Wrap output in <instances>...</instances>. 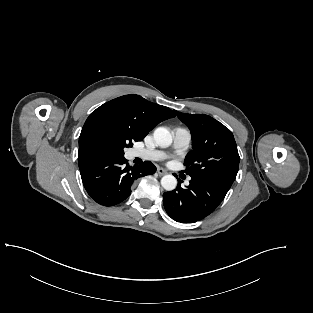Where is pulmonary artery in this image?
Returning a JSON list of instances; mask_svg holds the SVG:
<instances>
[{
	"label": "pulmonary artery",
	"mask_w": 313,
	"mask_h": 313,
	"mask_svg": "<svg viewBox=\"0 0 313 313\" xmlns=\"http://www.w3.org/2000/svg\"><path fill=\"white\" fill-rule=\"evenodd\" d=\"M172 135L173 149L176 152H182L189 147L191 143V133L187 128L177 127L173 130ZM132 156L151 161H161L167 158V154L164 151L148 148L134 149Z\"/></svg>",
	"instance_id": "pulmonary-artery-1"
}]
</instances>
